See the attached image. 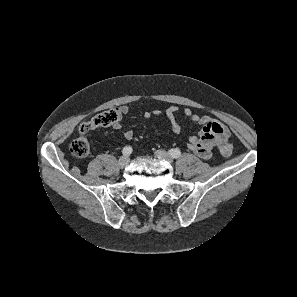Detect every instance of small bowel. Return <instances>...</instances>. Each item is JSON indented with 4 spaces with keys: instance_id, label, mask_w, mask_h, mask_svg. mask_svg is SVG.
Here are the masks:
<instances>
[{
    "instance_id": "c3829d8e",
    "label": "small bowel",
    "mask_w": 297,
    "mask_h": 297,
    "mask_svg": "<svg viewBox=\"0 0 297 297\" xmlns=\"http://www.w3.org/2000/svg\"><path fill=\"white\" fill-rule=\"evenodd\" d=\"M120 117L126 115L129 112V107L127 105L120 106L118 109ZM178 108L176 106H170L166 109L165 114L170 122L171 129L174 133H179L181 127L176 119V113ZM158 110L146 111L144 117L146 119L151 118L154 115H158ZM184 115L189 117L193 122L198 123L202 126V129L198 136H192L188 141V148L198 155L202 159H210L212 156V150L217 143L226 139L229 132L226 127L221 123L214 121L210 116L198 115L193 113L190 108L184 109ZM120 119V118H119ZM114 129H121L122 124L117 121L113 124ZM134 137V132L132 130H126L124 132V138L126 140H131Z\"/></svg>"
}]
</instances>
